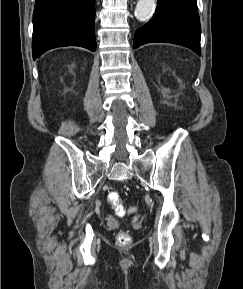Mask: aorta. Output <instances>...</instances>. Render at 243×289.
<instances>
[{"label":"aorta","instance_id":"aorta-1","mask_svg":"<svg viewBox=\"0 0 243 289\" xmlns=\"http://www.w3.org/2000/svg\"><path fill=\"white\" fill-rule=\"evenodd\" d=\"M155 7V0H138L136 8H135V17L139 21L148 20Z\"/></svg>","mask_w":243,"mask_h":289}]
</instances>
